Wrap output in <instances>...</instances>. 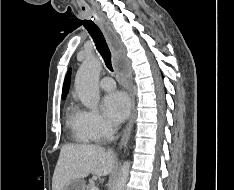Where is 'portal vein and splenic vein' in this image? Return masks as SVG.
Listing matches in <instances>:
<instances>
[{
  "label": "portal vein and splenic vein",
  "instance_id": "18ae733b",
  "mask_svg": "<svg viewBox=\"0 0 234 190\" xmlns=\"http://www.w3.org/2000/svg\"><path fill=\"white\" fill-rule=\"evenodd\" d=\"M91 190H99V188L98 187H96V186H94V187H92V189Z\"/></svg>",
  "mask_w": 234,
  "mask_h": 190
}]
</instances>
